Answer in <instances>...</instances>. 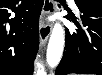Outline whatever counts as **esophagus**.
<instances>
[{
    "instance_id": "1",
    "label": "esophagus",
    "mask_w": 102,
    "mask_h": 75,
    "mask_svg": "<svg viewBox=\"0 0 102 75\" xmlns=\"http://www.w3.org/2000/svg\"><path fill=\"white\" fill-rule=\"evenodd\" d=\"M54 11H55L54 1L45 0L41 12V23L39 27V36L43 44L46 43L52 31V24L44 22L43 19L46 16L52 14Z\"/></svg>"
}]
</instances>
